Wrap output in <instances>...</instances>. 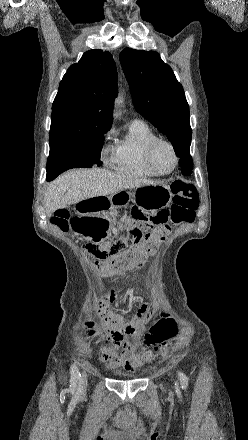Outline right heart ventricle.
Segmentation results:
<instances>
[{"mask_svg":"<svg viewBox=\"0 0 248 440\" xmlns=\"http://www.w3.org/2000/svg\"><path fill=\"white\" fill-rule=\"evenodd\" d=\"M157 136L143 121L134 120L126 135L114 147L113 167L122 174L149 178L156 176L145 164L144 152L147 145Z\"/></svg>","mask_w":248,"mask_h":440,"instance_id":"e07e8e85","label":"right heart ventricle"}]
</instances>
